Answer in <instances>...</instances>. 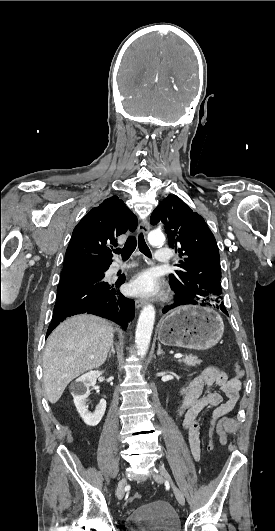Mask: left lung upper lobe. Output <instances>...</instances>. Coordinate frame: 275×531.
I'll use <instances>...</instances> for the list:
<instances>
[{
    "label": "left lung upper lobe",
    "mask_w": 275,
    "mask_h": 531,
    "mask_svg": "<svg viewBox=\"0 0 275 531\" xmlns=\"http://www.w3.org/2000/svg\"><path fill=\"white\" fill-rule=\"evenodd\" d=\"M150 221L152 225L163 223L169 246L184 256L177 264L181 270L169 276L175 304H204L224 312L219 250L203 217L178 196L168 195L153 211Z\"/></svg>",
    "instance_id": "obj_1"
}]
</instances>
